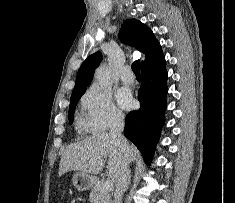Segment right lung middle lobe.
Here are the masks:
<instances>
[{"label":"right lung middle lobe","instance_id":"right-lung-middle-lobe-1","mask_svg":"<svg viewBox=\"0 0 235 203\" xmlns=\"http://www.w3.org/2000/svg\"><path fill=\"white\" fill-rule=\"evenodd\" d=\"M84 92H85V90L78 92V93H75V94H72V96H71L70 106H69V122H70V124L73 122V116H74V111H75L76 105Z\"/></svg>","mask_w":235,"mask_h":203}]
</instances>
